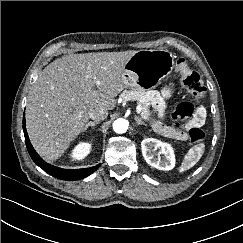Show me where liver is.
I'll use <instances>...</instances> for the list:
<instances>
[{"label":"liver","instance_id":"1","mask_svg":"<svg viewBox=\"0 0 243 243\" xmlns=\"http://www.w3.org/2000/svg\"><path fill=\"white\" fill-rule=\"evenodd\" d=\"M135 52L66 55L39 73L26 105V128L41 156L61 157L85 131L91 109L115 108L125 64Z\"/></svg>","mask_w":243,"mask_h":243}]
</instances>
